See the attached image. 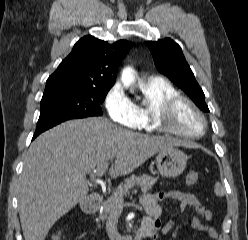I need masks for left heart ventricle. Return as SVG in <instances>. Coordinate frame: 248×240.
<instances>
[{"label":"left heart ventricle","mask_w":248,"mask_h":240,"mask_svg":"<svg viewBox=\"0 0 248 240\" xmlns=\"http://www.w3.org/2000/svg\"><path fill=\"white\" fill-rule=\"evenodd\" d=\"M173 126L183 132L197 134L203 130L204 124L200 116L189 105L182 103L175 110Z\"/></svg>","instance_id":"obj_1"}]
</instances>
